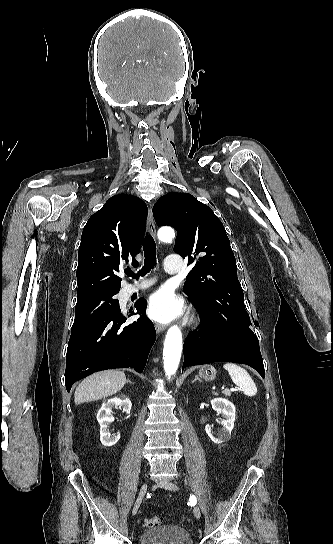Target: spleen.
<instances>
[{"label": "spleen", "mask_w": 333, "mask_h": 544, "mask_svg": "<svg viewBox=\"0 0 333 544\" xmlns=\"http://www.w3.org/2000/svg\"><path fill=\"white\" fill-rule=\"evenodd\" d=\"M223 367L229 373L232 381L242 389L245 395L251 397L257 393L255 383L244 368L234 363H226Z\"/></svg>", "instance_id": "obj_1"}]
</instances>
